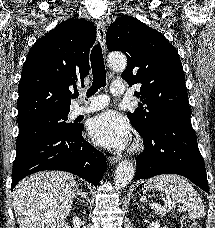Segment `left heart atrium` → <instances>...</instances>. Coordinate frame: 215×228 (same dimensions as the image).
<instances>
[{
    "instance_id": "left-heart-atrium-1",
    "label": "left heart atrium",
    "mask_w": 215,
    "mask_h": 228,
    "mask_svg": "<svg viewBox=\"0 0 215 228\" xmlns=\"http://www.w3.org/2000/svg\"><path fill=\"white\" fill-rule=\"evenodd\" d=\"M88 132L96 144L109 148L123 149L131 141L128 120L111 110L95 116L90 121Z\"/></svg>"
}]
</instances>
